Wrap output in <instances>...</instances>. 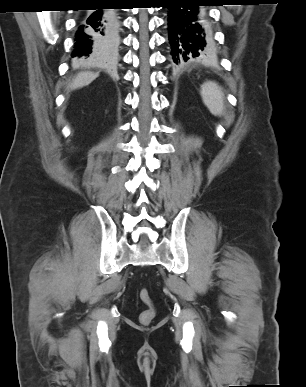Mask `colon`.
Listing matches in <instances>:
<instances>
[{
  "label": "colon",
  "mask_w": 306,
  "mask_h": 387,
  "mask_svg": "<svg viewBox=\"0 0 306 387\" xmlns=\"http://www.w3.org/2000/svg\"><path fill=\"white\" fill-rule=\"evenodd\" d=\"M139 296L141 301L146 305V309L141 312L139 316V320L141 324L148 325L154 319L156 311L154 308V304L152 298L150 296V292L146 288H142L139 292Z\"/></svg>",
  "instance_id": "5ec220e1"
}]
</instances>
